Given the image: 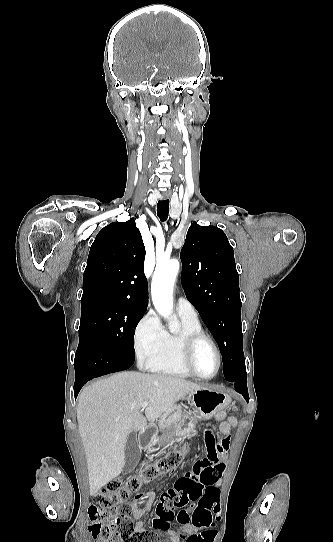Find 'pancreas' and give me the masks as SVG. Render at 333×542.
<instances>
[{
    "label": "pancreas",
    "instance_id": "pancreas-1",
    "mask_svg": "<svg viewBox=\"0 0 333 542\" xmlns=\"http://www.w3.org/2000/svg\"><path fill=\"white\" fill-rule=\"evenodd\" d=\"M184 418H186V414L183 412V406H174L169 412H164V414L160 416V420H158L159 432L170 430L172 426H175V424H178V422H181Z\"/></svg>",
    "mask_w": 333,
    "mask_h": 542
}]
</instances>
